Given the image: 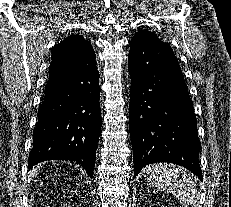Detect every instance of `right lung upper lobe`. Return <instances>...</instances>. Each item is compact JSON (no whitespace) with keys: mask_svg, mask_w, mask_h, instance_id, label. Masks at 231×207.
Wrapping results in <instances>:
<instances>
[{"mask_svg":"<svg viewBox=\"0 0 231 207\" xmlns=\"http://www.w3.org/2000/svg\"><path fill=\"white\" fill-rule=\"evenodd\" d=\"M52 63L50 66L62 70H73L95 55L91 43L83 36L71 35L55 45L51 51Z\"/></svg>","mask_w":231,"mask_h":207,"instance_id":"obj_1","label":"right lung upper lobe"}]
</instances>
